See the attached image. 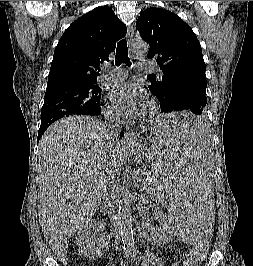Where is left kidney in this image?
<instances>
[{"label": "left kidney", "mask_w": 253, "mask_h": 266, "mask_svg": "<svg viewBox=\"0 0 253 266\" xmlns=\"http://www.w3.org/2000/svg\"><path fill=\"white\" fill-rule=\"evenodd\" d=\"M160 221L162 224V229L160 231H155L154 229H149L147 231L151 241H154L155 243L167 242L171 235L170 225L167 218L164 215H160Z\"/></svg>", "instance_id": "5707ae66"}]
</instances>
